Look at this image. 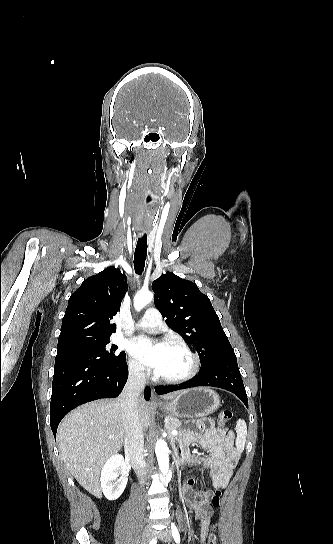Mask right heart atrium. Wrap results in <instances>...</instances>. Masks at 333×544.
Wrapping results in <instances>:
<instances>
[{"label":"right heart atrium","mask_w":333,"mask_h":544,"mask_svg":"<svg viewBox=\"0 0 333 544\" xmlns=\"http://www.w3.org/2000/svg\"><path fill=\"white\" fill-rule=\"evenodd\" d=\"M128 370L131 376L136 379H144L146 377V370L139 361L130 357L128 361Z\"/></svg>","instance_id":"1"}]
</instances>
